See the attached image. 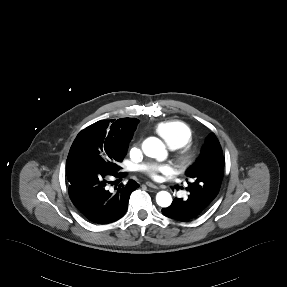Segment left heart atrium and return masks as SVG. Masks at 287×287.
Returning <instances> with one entry per match:
<instances>
[{"label":"left heart atrium","instance_id":"39dd6f15","mask_svg":"<svg viewBox=\"0 0 287 287\" xmlns=\"http://www.w3.org/2000/svg\"><path fill=\"white\" fill-rule=\"evenodd\" d=\"M143 170L155 181L160 180L161 175H171L174 173V168L169 164L147 165L144 166Z\"/></svg>","mask_w":287,"mask_h":287}]
</instances>
